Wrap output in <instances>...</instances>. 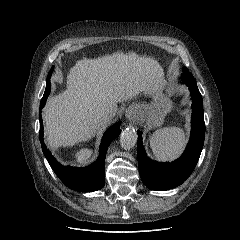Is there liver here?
Masks as SVG:
<instances>
[{"label": "liver", "instance_id": "liver-1", "mask_svg": "<svg viewBox=\"0 0 240 240\" xmlns=\"http://www.w3.org/2000/svg\"><path fill=\"white\" fill-rule=\"evenodd\" d=\"M160 64L135 53L116 52L98 59L79 60L67 76V89L51 97L43 119L50 147L73 146L91 139L106 124L97 113L117 111V103L130 100L164 81ZM111 118V119H112Z\"/></svg>", "mask_w": 240, "mask_h": 240}]
</instances>
